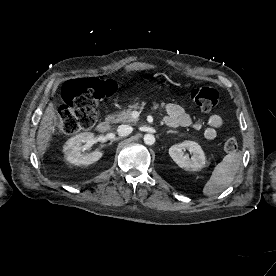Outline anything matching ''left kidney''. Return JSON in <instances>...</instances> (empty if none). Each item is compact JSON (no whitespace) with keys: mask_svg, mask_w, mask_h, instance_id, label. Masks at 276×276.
I'll use <instances>...</instances> for the list:
<instances>
[{"mask_svg":"<svg viewBox=\"0 0 276 276\" xmlns=\"http://www.w3.org/2000/svg\"><path fill=\"white\" fill-rule=\"evenodd\" d=\"M185 150L192 154L191 158L185 154ZM169 155L179 167L191 171L204 168L206 163L205 154L201 146L194 141H184L171 146Z\"/></svg>","mask_w":276,"mask_h":276,"instance_id":"obj_1","label":"left kidney"}]
</instances>
